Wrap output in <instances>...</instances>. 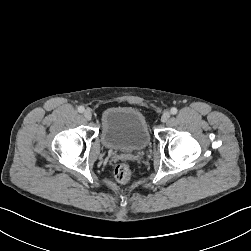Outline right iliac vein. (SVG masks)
<instances>
[{
  "instance_id": "63e3f726",
  "label": "right iliac vein",
  "mask_w": 251,
  "mask_h": 251,
  "mask_svg": "<svg viewBox=\"0 0 251 251\" xmlns=\"http://www.w3.org/2000/svg\"><path fill=\"white\" fill-rule=\"evenodd\" d=\"M83 116L85 117L86 120H91L92 118V112L90 109H86L83 113Z\"/></svg>"
}]
</instances>
